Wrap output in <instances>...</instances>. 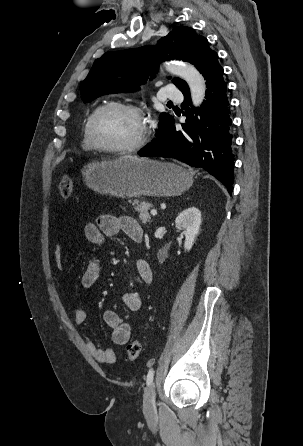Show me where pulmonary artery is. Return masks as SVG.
<instances>
[{
    "label": "pulmonary artery",
    "mask_w": 303,
    "mask_h": 446,
    "mask_svg": "<svg viewBox=\"0 0 303 446\" xmlns=\"http://www.w3.org/2000/svg\"><path fill=\"white\" fill-rule=\"evenodd\" d=\"M161 98L163 100L181 101L182 93L173 85H167L161 90Z\"/></svg>",
    "instance_id": "1"
}]
</instances>
